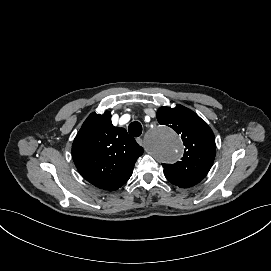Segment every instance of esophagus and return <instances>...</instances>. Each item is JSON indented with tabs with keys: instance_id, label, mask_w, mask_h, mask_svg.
<instances>
[{
	"instance_id": "obj_1",
	"label": "esophagus",
	"mask_w": 271,
	"mask_h": 271,
	"mask_svg": "<svg viewBox=\"0 0 271 271\" xmlns=\"http://www.w3.org/2000/svg\"><path fill=\"white\" fill-rule=\"evenodd\" d=\"M136 141L139 145H142L143 144V137L142 136H139L138 138H136Z\"/></svg>"
}]
</instances>
